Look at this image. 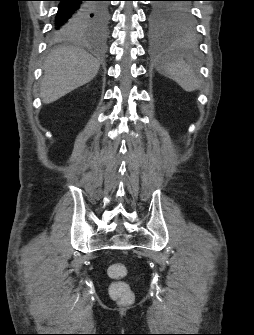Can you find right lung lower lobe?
I'll list each match as a JSON object with an SVG mask.
<instances>
[{
  "label": "right lung lower lobe",
  "mask_w": 254,
  "mask_h": 335,
  "mask_svg": "<svg viewBox=\"0 0 254 335\" xmlns=\"http://www.w3.org/2000/svg\"><path fill=\"white\" fill-rule=\"evenodd\" d=\"M59 6L55 17L52 34L79 31L89 34L92 25L98 21V0H58ZM87 36V35H81Z\"/></svg>",
  "instance_id": "98d812e1"
}]
</instances>
